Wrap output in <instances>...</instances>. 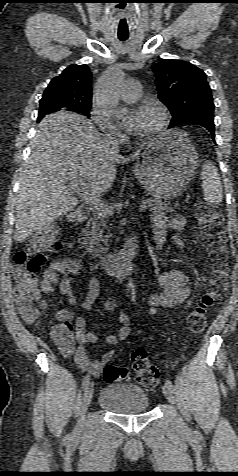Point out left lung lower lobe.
Segmentation results:
<instances>
[{
    "label": "left lung lower lobe",
    "instance_id": "obj_1",
    "mask_svg": "<svg viewBox=\"0 0 238 476\" xmlns=\"http://www.w3.org/2000/svg\"><path fill=\"white\" fill-rule=\"evenodd\" d=\"M201 126L205 127L212 134V139H214V136H215L214 124L204 123V124H201Z\"/></svg>",
    "mask_w": 238,
    "mask_h": 476
}]
</instances>
